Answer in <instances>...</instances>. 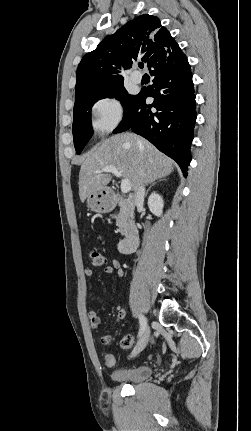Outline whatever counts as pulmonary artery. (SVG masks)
<instances>
[{"label":"pulmonary artery","instance_id":"obj_1","mask_svg":"<svg viewBox=\"0 0 251 431\" xmlns=\"http://www.w3.org/2000/svg\"><path fill=\"white\" fill-rule=\"evenodd\" d=\"M130 78L134 83H139L142 79V75L138 72H133Z\"/></svg>","mask_w":251,"mask_h":431}]
</instances>
